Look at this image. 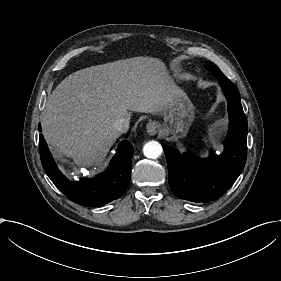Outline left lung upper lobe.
Masks as SVG:
<instances>
[{
	"mask_svg": "<svg viewBox=\"0 0 281 281\" xmlns=\"http://www.w3.org/2000/svg\"><path fill=\"white\" fill-rule=\"evenodd\" d=\"M205 68H206L208 71L212 72L213 75H214L216 78H218V77H220V76H224V74H223V73L220 71V69H219L218 67H216V66H205Z\"/></svg>",
	"mask_w": 281,
	"mask_h": 281,
	"instance_id": "5c2ea615",
	"label": "left lung upper lobe"
}]
</instances>
